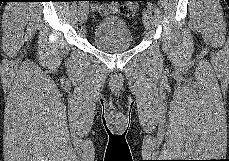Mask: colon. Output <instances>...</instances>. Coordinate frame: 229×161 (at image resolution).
<instances>
[{"instance_id": "obj_1", "label": "colon", "mask_w": 229, "mask_h": 161, "mask_svg": "<svg viewBox=\"0 0 229 161\" xmlns=\"http://www.w3.org/2000/svg\"><path fill=\"white\" fill-rule=\"evenodd\" d=\"M137 11V4L134 2H129L121 7V14L125 17H133Z\"/></svg>"}]
</instances>
